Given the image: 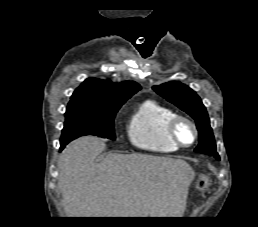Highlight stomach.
I'll return each instance as SVG.
<instances>
[{"instance_id":"1","label":"stomach","mask_w":258,"mask_h":227,"mask_svg":"<svg viewBox=\"0 0 258 227\" xmlns=\"http://www.w3.org/2000/svg\"><path fill=\"white\" fill-rule=\"evenodd\" d=\"M209 185V178L205 175H200L195 183L196 189L198 191H203L205 190Z\"/></svg>"}]
</instances>
